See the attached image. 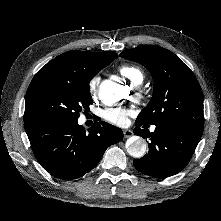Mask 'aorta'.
Instances as JSON below:
<instances>
[{
  "label": "aorta",
  "mask_w": 221,
  "mask_h": 221,
  "mask_svg": "<svg viewBox=\"0 0 221 221\" xmlns=\"http://www.w3.org/2000/svg\"><path fill=\"white\" fill-rule=\"evenodd\" d=\"M126 87L111 80H106L100 85V95L104 103L113 104L124 97ZM127 152L134 158H141L147 151L146 141L141 137H131L126 146Z\"/></svg>",
  "instance_id": "aorta-1"
}]
</instances>
